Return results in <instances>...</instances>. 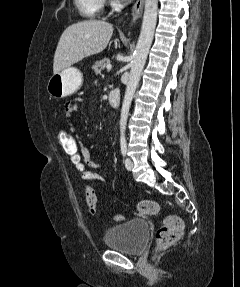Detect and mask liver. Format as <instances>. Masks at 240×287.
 Masks as SVG:
<instances>
[{
  "mask_svg": "<svg viewBox=\"0 0 240 287\" xmlns=\"http://www.w3.org/2000/svg\"><path fill=\"white\" fill-rule=\"evenodd\" d=\"M113 34V25L101 20L74 23L62 33L54 55L53 73L103 51Z\"/></svg>",
  "mask_w": 240,
  "mask_h": 287,
  "instance_id": "1",
  "label": "liver"
}]
</instances>
